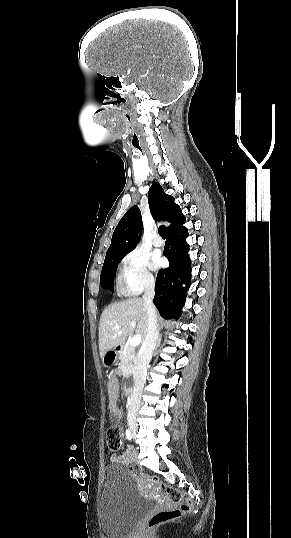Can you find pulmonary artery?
<instances>
[{
	"mask_svg": "<svg viewBox=\"0 0 291 538\" xmlns=\"http://www.w3.org/2000/svg\"><path fill=\"white\" fill-rule=\"evenodd\" d=\"M152 244L155 247H161L163 245V241L160 237H155L152 241Z\"/></svg>",
	"mask_w": 291,
	"mask_h": 538,
	"instance_id": "e3ab8cb5",
	"label": "pulmonary artery"
}]
</instances>
